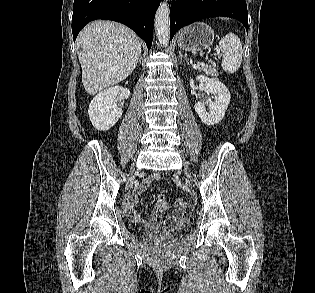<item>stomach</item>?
<instances>
[{"label": "stomach", "mask_w": 315, "mask_h": 293, "mask_svg": "<svg viewBox=\"0 0 315 293\" xmlns=\"http://www.w3.org/2000/svg\"><path fill=\"white\" fill-rule=\"evenodd\" d=\"M214 37V31L210 26L198 22L180 31L177 44L179 48L185 51H204L210 48Z\"/></svg>", "instance_id": "stomach-1"}]
</instances>
